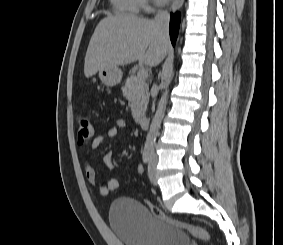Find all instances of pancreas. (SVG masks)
I'll use <instances>...</instances> for the list:
<instances>
[{"label": "pancreas", "instance_id": "pancreas-1", "mask_svg": "<svg viewBox=\"0 0 283 245\" xmlns=\"http://www.w3.org/2000/svg\"><path fill=\"white\" fill-rule=\"evenodd\" d=\"M149 86L147 78H140L131 74L126 79L123 95L128 99L132 116L138 120L145 112L149 101Z\"/></svg>", "mask_w": 283, "mask_h": 245}]
</instances>
